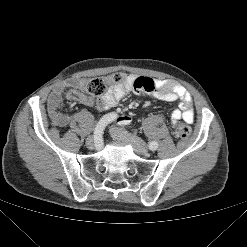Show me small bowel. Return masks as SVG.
Wrapping results in <instances>:
<instances>
[{
	"instance_id": "obj_1",
	"label": "small bowel",
	"mask_w": 247,
	"mask_h": 247,
	"mask_svg": "<svg viewBox=\"0 0 247 247\" xmlns=\"http://www.w3.org/2000/svg\"><path fill=\"white\" fill-rule=\"evenodd\" d=\"M139 80L142 85L135 86L134 81ZM84 80H70L54 87L47 101L48 115L54 126H65L69 123V115L62 113L59 108L62 102V95L65 89H81ZM134 92L145 94L164 101H179L178 108L171 112V123L175 126L179 120L191 124L194 120V107L190 93L179 84L169 80H154L148 77H130L129 82L124 85H112L97 99L82 92L77 99L84 105L94 107L97 110H108L115 106L126 94ZM131 122L129 116L118 119L119 124Z\"/></svg>"
}]
</instances>
